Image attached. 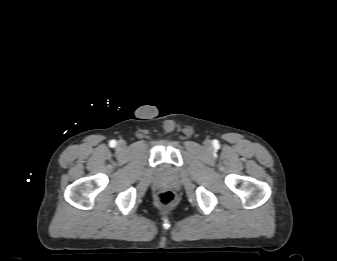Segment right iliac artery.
Here are the masks:
<instances>
[{
	"mask_svg": "<svg viewBox=\"0 0 337 261\" xmlns=\"http://www.w3.org/2000/svg\"><path fill=\"white\" fill-rule=\"evenodd\" d=\"M109 145L111 147H115L116 146V141L115 140H111L110 143H109Z\"/></svg>",
	"mask_w": 337,
	"mask_h": 261,
	"instance_id": "82829eb1",
	"label": "right iliac artery"
}]
</instances>
